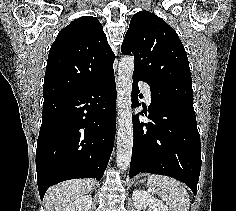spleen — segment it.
I'll use <instances>...</instances> for the list:
<instances>
[{
  "label": "spleen",
  "instance_id": "3e777b00",
  "mask_svg": "<svg viewBox=\"0 0 236 211\" xmlns=\"http://www.w3.org/2000/svg\"><path fill=\"white\" fill-rule=\"evenodd\" d=\"M148 184L166 202L171 211H189L188 192L177 180L153 174L148 177Z\"/></svg>",
  "mask_w": 236,
  "mask_h": 211
}]
</instances>
